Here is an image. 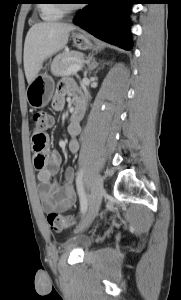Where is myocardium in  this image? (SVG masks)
<instances>
[{"label":"myocardium","mask_w":181,"mask_h":300,"mask_svg":"<svg viewBox=\"0 0 181 300\" xmlns=\"http://www.w3.org/2000/svg\"><path fill=\"white\" fill-rule=\"evenodd\" d=\"M58 6L64 13L74 9L73 5H68L64 3H61Z\"/></svg>","instance_id":"1"}]
</instances>
